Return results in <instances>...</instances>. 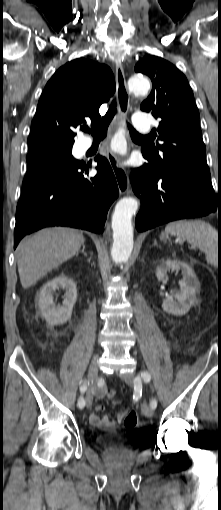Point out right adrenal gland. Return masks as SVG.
Segmentation results:
<instances>
[{"mask_svg": "<svg viewBox=\"0 0 221 510\" xmlns=\"http://www.w3.org/2000/svg\"><path fill=\"white\" fill-rule=\"evenodd\" d=\"M79 253H83V254H84V256H87V253L85 252V245H84V243H83V245H82V250H81L80 252H77V253H76V256H78V255H79Z\"/></svg>", "mask_w": 221, "mask_h": 510, "instance_id": "obj_1", "label": "right adrenal gland"}]
</instances>
